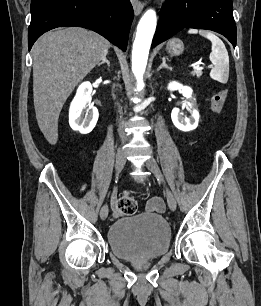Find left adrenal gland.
I'll return each instance as SVG.
<instances>
[{
  "instance_id": "1",
  "label": "left adrenal gland",
  "mask_w": 261,
  "mask_h": 306,
  "mask_svg": "<svg viewBox=\"0 0 261 306\" xmlns=\"http://www.w3.org/2000/svg\"><path fill=\"white\" fill-rule=\"evenodd\" d=\"M162 68H166V69H169V70H172V67H169L167 64H166V59L165 57L162 58V64L158 67V71L161 70Z\"/></svg>"
}]
</instances>
